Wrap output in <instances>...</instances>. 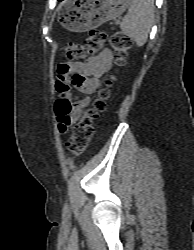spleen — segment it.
Returning <instances> with one entry per match:
<instances>
[{"label":"spleen","mask_w":194,"mask_h":250,"mask_svg":"<svg viewBox=\"0 0 194 250\" xmlns=\"http://www.w3.org/2000/svg\"><path fill=\"white\" fill-rule=\"evenodd\" d=\"M132 1L120 29L140 47L146 43L154 21V0Z\"/></svg>","instance_id":"1"}]
</instances>
